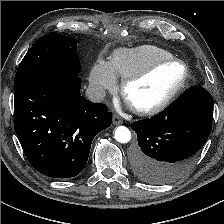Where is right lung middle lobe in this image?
Here are the masks:
<instances>
[{"label":"right lung middle lobe","instance_id":"obj_1","mask_svg":"<svg viewBox=\"0 0 224 224\" xmlns=\"http://www.w3.org/2000/svg\"><path fill=\"white\" fill-rule=\"evenodd\" d=\"M78 41L59 33H48L39 38L18 67L14 93L27 82L48 74L78 76L81 65L77 56Z\"/></svg>","mask_w":224,"mask_h":224}]
</instances>
